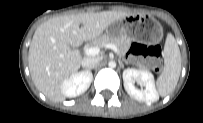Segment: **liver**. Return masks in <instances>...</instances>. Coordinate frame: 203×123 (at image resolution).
<instances>
[{
	"label": "liver",
	"instance_id": "obj_1",
	"mask_svg": "<svg viewBox=\"0 0 203 123\" xmlns=\"http://www.w3.org/2000/svg\"><path fill=\"white\" fill-rule=\"evenodd\" d=\"M129 14L125 11L81 13L57 16L42 23L33 35L28 55L36 88L50 101L62 102L65 96L61 85L79 70L82 61L80 52L72 48L95 40Z\"/></svg>",
	"mask_w": 203,
	"mask_h": 123
}]
</instances>
